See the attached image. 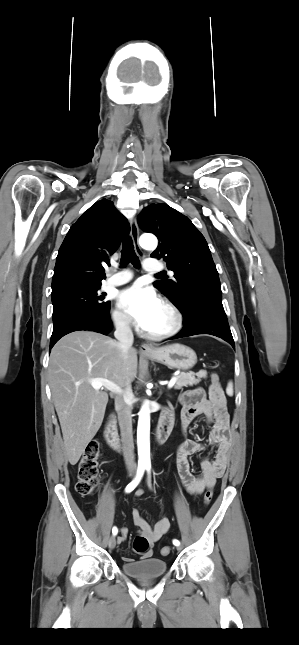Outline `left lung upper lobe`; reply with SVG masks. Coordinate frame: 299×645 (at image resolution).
Masks as SVG:
<instances>
[{
  "mask_svg": "<svg viewBox=\"0 0 299 645\" xmlns=\"http://www.w3.org/2000/svg\"><path fill=\"white\" fill-rule=\"evenodd\" d=\"M138 223L143 231L155 234L160 240L151 257H162L174 272L173 280L157 281L153 285L170 296L181 312L191 316L193 305L206 293L221 291L208 244L190 219L159 203L144 208Z\"/></svg>",
  "mask_w": 299,
  "mask_h": 645,
  "instance_id": "5c2ea615",
  "label": "left lung upper lobe"
}]
</instances>
